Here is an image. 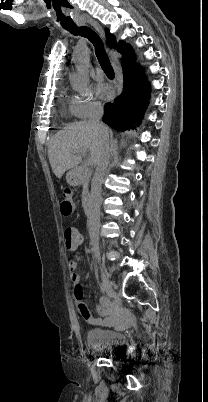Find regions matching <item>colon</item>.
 Here are the masks:
<instances>
[{
  "label": "colon",
  "instance_id": "obj_1",
  "mask_svg": "<svg viewBox=\"0 0 208 402\" xmlns=\"http://www.w3.org/2000/svg\"><path fill=\"white\" fill-rule=\"evenodd\" d=\"M61 212L63 214H72L74 212V207L72 205H63L61 207ZM63 238L65 241V245L68 250H73L78 248L79 244V235L76 229L72 226H68L63 231ZM77 258V257H75ZM79 310L84 317L89 316L88 305L85 300H80L78 303Z\"/></svg>",
  "mask_w": 208,
  "mask_h": 402
}]
</instances>
